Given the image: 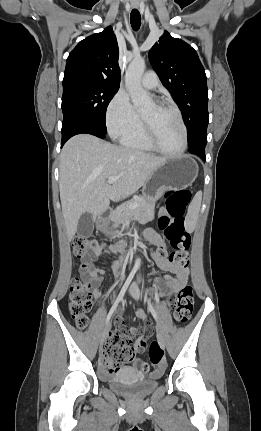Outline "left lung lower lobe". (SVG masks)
I'll return each instance as SVG.
<instances>
[{"label": "left lung lower lobe", "instance_id": "left-lung-lower-lobe-1", "mask_svg": "<svg viewBox=\"0 0 261 431\" xmlns=\"http://www.w3.org/2000/svg\"><path fill=\"white\" fill-rule=\"evenodd\" d=\"M190 153L198 155L202 160H205V146L195 145L188 150Z\"/></svg>", "mask_w": 261, "mask_h": 431}]
</instances>
